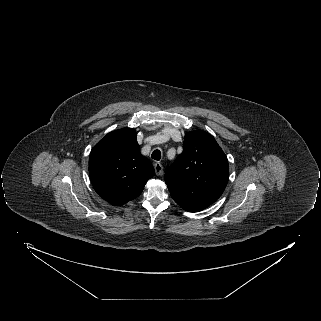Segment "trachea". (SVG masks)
<instances>
[{"instance_id":"3493384b","label":"trachea","mask_w":321,"mask_h":321,"mask_svg":"<svg viewBox=\"0 0 321 321\" xmlns=\"http://www.w3.org/2000/svg\"><path fill=\"white\" fill-rule=\"evenodd\" d=\"M151 157L154 159V160H157L159 161L161 159V151L156 149L153 151Z\"/></svg>"}]
</instances>
